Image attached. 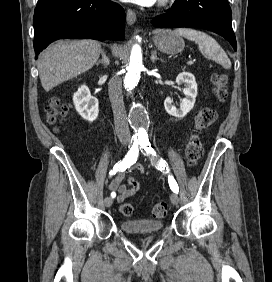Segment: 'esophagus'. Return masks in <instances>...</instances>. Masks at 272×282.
Returning <instances> with one entry per match:
<instances>
[{
    "instance_id": "esophagus-1",
    "label": "esophagus",
    "mask_w": 272,
    "mask_h": 282,
    "mask_svg": "<svg viewBox=\"0 0 272 282\" xmlns=\"http://www.w3.org/2000/svg\"><path fill=\"white\" fill-rule=\"evenodd\" d=\"M126 21L129 25H133L136 22V14L131 9L127 10Z\"/></svg>"
}]
</instances>
